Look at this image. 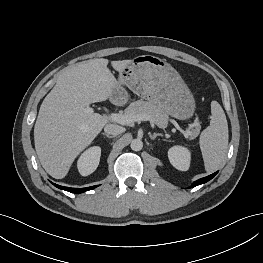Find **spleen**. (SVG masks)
<instances>
[{
  "mask_svg": "<svg viewBox=\"0 0 263 263\" xmlns=\"http://www.w3.org/2000/svg\"><path fill=\"white\" fill-rule=\"evenodd\" d=\"M211 121L199 139L205 170L215 171L223 162L228 148V124L225 113L217 101L211 102Z\"/></svg>",
  "mask_w": 263,
  "mask_h": 263,
  "instance_id": "obj_1",
  "label": "spleen"
}]
</instances>
